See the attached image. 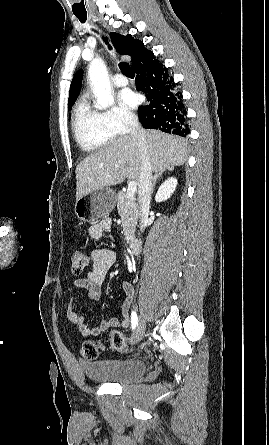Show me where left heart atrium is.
I'll list each match as a JSON object with an SVG mask.
<instances>
[{
  "instance_id": "left-heart-atrium-1",
  "label": "left heart atrium",
  "mask_w": 269,
  "mask_h": 445,
  "mask_svg": "<svg viewBox=\"0 0 269 445\" xmlns=\"http://www.w3.org/2000/svg\"><path fill=\"white\" fill-rule=\"evenodd\" d=\"M121 98H122V101L124 102V104L130 108L136 107L137 104L139 103L138 96L129 90L124 91L121 95Z\"/></svg>"
}]
</instances>
